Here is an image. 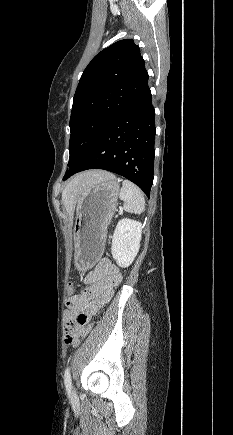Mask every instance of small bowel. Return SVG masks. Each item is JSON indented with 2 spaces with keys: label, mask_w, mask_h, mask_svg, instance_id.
I'll use <instances>...</instances> for the list:
<instances>
[{
  "label": "small bowel",
  "mask_w": 233,
  "mask_h": 435,
  "mask_svg": "<svg viewBox=\"0 0 233 435\" xmlns=\"http://www.w3.org/2000/svg\"><path fill=\"white\" fill-rule=\"evenodd\" d=\"M122 275L118 267L108 259L99 261L94 270L84 278L86 284L79 296L66 299L65 325H70L77 339L84 337L90 329L89 320L99 313L113 297Z\"/></svg>",
  "instance_id": "obj_1"
}]
</instances>
